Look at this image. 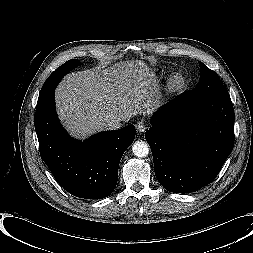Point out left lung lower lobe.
<instances>
[{"mask_svg": "<svg viewBox=\"0 0 253 253\" xmlns=\"http://www.w3.org/2000/svg\"><path fill=\"white\" fill-rule=\"evenodd\" d=\"M145 138L159 183L191 193L211 183L234 145V110L225 85L199 96L187 91L157 112Z\"/></svg>", "mask_w": 253, "mask_h": 253, "instance_id": "left-lung-lower-lobe-1", "label": "left lung lower lobe"}]
</instances>
